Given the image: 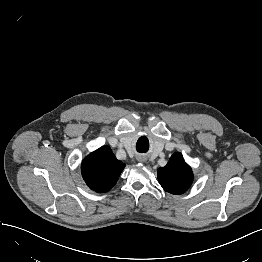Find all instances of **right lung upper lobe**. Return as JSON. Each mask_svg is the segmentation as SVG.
Returning a JSON list of instances; mask_svg holds the SVG:
<instances>
[{
  "mask_svg": "<svg viewBox=\"0 0 262 262\" xmlns=\"http://www.w3.org/2000/svg\"><path fill=\"white\" fill-rule=\"evenodd\" d=\"M125 165L117 160L110 147L103 146L89 154L82 162V176L88 187L104 193L117 182Z\"/></svg>",
  "mask_w": 262,
  "mask_h": 262,
  "instance_id": "right-lung-upper-lobe-1",
  "label": "right lung upper lobe"
}]
</instances>
